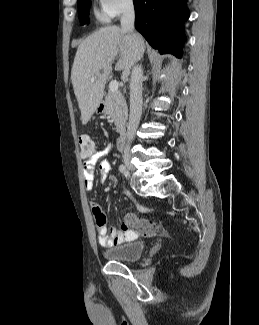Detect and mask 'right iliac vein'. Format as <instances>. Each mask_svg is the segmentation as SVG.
<instances>
[{
    "mask_svg": "<svg viewBox=\"0 0 259 325\" xmlns=\"http://www.w3.org/2000/svg\"><path fill=\"white\" fill-rule=\"evenodd\" d=\"M124 163L130 170H135V165L132 161V157L129 154L124 155Z\"/></svg>",
    "mask_w": 259,
    "mask_h": 325,
    "instance_id": "obj_1",
    "label": "right iliac vein"
}]
</instances>
